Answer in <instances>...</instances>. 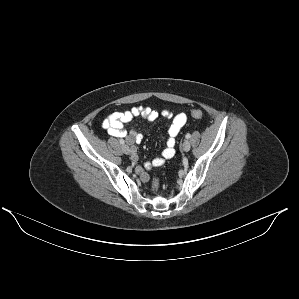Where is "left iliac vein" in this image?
<instances>
[{
  "mask_svg": "<svg viewBox=\"0 0 299 299\" xmlns=\"http://www.w3.org/2000/svg\"><path fill=\"white\" fill-rule=\"evenodd\" d=\"M191 148V144L188 140H185L182 144V149L185 151V152H188Z\"/></svg>",
  "mask_w": 299,
  "mask_h": 299,
  "instance_id": "1",
  "label": "left iliac vein"
}]
</instances>
